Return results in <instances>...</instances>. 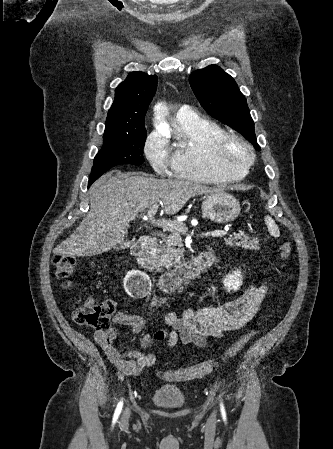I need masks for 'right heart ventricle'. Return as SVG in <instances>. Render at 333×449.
I'll list each match as a JSON object with an SVG mask.
<instances>
[{
  "label": "right heart ventricle",
  "instance_id": "1",
  "mask_svg": "<svg viewBox=\"0 0 333 449\" xmlns=\"http://www.w3.org/2000/svg\"><path fill=\"white\" fill-rule=\"evenodd\" d=\"M225 133L217 123L202 118L177 122L173 175L182 180L200 183L229 182L244 178L247 173L223 174L213 166L211 146Z\"/></svg>",
  "mask_w": 333,
  "mask_h": 449
}]
</instances>
